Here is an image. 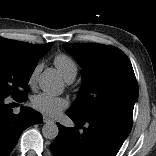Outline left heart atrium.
Returning <instances> with one entry per match:
<instances>
[{
	"label": "left heart atrium",
	"instance_id": "left-heart-atrium-1",
	"mask_svg": "<svg viewBox=\"0 0 156 156\" xmlns=\"http://www.w3.org/2000/svg\"><path fill=\"white\" fill-rule=\"evenodd\" d=\"M68 100L48 93H39L32 98V106L47 116H56L68 106Z\"/></svg>",
	"mask_w": 156,
	"mask_h": 156
}]
</instances>
